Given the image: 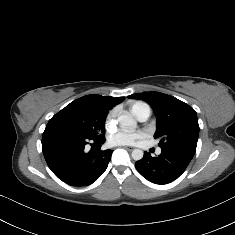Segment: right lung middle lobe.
<instances>
[{"instance_id":"dd1d6c3e","label":"right lung middle lobe","mask_w":235,"mask_h":235,"mask_svg":"<svg viewBox=\"0 0 235 235\" xmlns=\"http://www.w3.org/2000/svg\"><path fill=\"white\" fill-rule=\"evenodd\" d=\"M107 113L80 104H69L48 123L73 129L89 138L103 139Z\"/></svg>"}]
</instances>
